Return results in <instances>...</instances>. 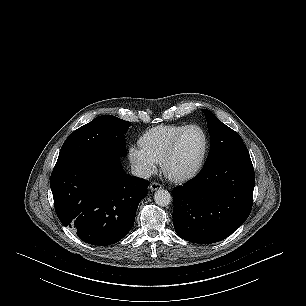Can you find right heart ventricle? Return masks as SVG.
Instances as JSON below:
<instances>
[{
	"instance_id": "e07e8e85",
	"label": "right heart ventricle",
	"mask_w": 306,
	"mask_h": 306,
	"mask_svg": "<svg viewBox=\"0 0 306 306\" xmlns=\"http://www.w3.org/2000/svg\"><path fill=\"white\" fill-rule=\"evenodd\" d=\"M185 125H161L147 130L139 139L140 146L158 163L169 151L173 140Z\"/></svg>"
}]
</instances>
